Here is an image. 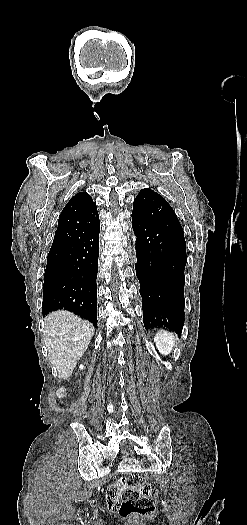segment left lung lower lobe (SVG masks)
<instances>
[{"mask_svg": "<svg viewBox=\"0 0 247 525\" xmlns=\"http://www.w3.org/2000/svg\"><path fill=\"white\" fill-rule=\"evenodd\" d=\"M137 237L135 264L145 329L165 327L181 334L184 325L185 239L156 223L132 218Z\"/></svg>", "mask_w": 247, "mask_h": 525, "instance_id": "obj_1", "label": "left lung lower lobe"}]
</instances>
